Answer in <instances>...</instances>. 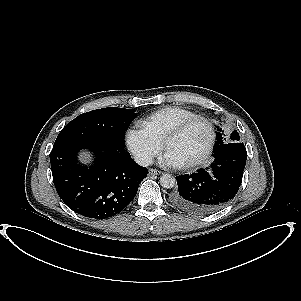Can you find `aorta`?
<instances>
[{"instance_id":"1","label":"aorta","mask_w":301,"mask_h":301,"mask_svg":"<svg viewBox=\"0 0 301 301\" xmlns=\"http://www.w3.org/2000/svg\"><path fill=\"white\" fill-rule=\"evenodd\" d=\"M159 182L163 188L171 189L175 186L176 179L172 174L165 173L161 175Z\"/></svg>"}]
</instances>
